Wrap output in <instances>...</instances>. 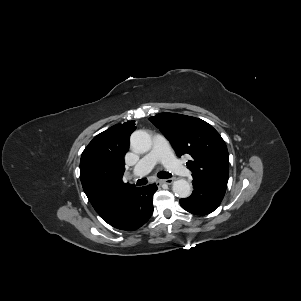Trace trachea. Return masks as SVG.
Returning a JSON list of instances; mask_svg holds the SVG:
<instances>
[{
  "label": "trachea",
  "mask_w": 301,
  "mask_h": 301,
  "mask_svg": "<svg viewBox=\"0 0 301 301\" xmlns=\"http://www.w3.org/2000/svg\"><path fill=\"white\" fill-rule=\"evenodd\" d=\"M157 176L161 179H168L171 178L172 175L169 172L161 171L157 174ZM147 183L146 179H138L137 180V185H145Z\"/></svg>",
  "instance_id": "obj_1"
}]
</instances>
